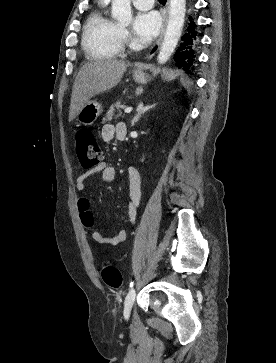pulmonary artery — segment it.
<instances>
[{
  "label": "pulmonary artery",
  "mask_w": 276,
  "mask_h": 363,
  "mask_svg": "<svg viewBox=\"0 0 276 363\" xmlns=\"http://www.w3.org/2000/svg\"><path fill=\"white\" fill-rule=\"evenodd\" d=\"M134 6L140 10H148L153 7L154 0H132Z\"/></svg>",
  "instance_id": "pulmonary-artery-1"
}]
</instances>
